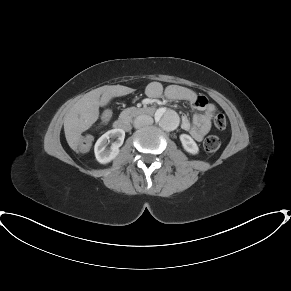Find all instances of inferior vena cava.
<instances>
[{
  "label": "inferior vena cava",
  "instance_id": "1",
  "mask_svg": "<svg viewBox=\"0 0 291 291\" xmlns=\"http://www.w3.org/2000/svg\"><path fill=\"white\" fill-rule=\"evenodd\" d=\"M153 123V118L148 115H139L134 120V127L140 128Z\"/></svg>",
  "mask_w": 291,
  "mask_h": 291
}]
</instances>
